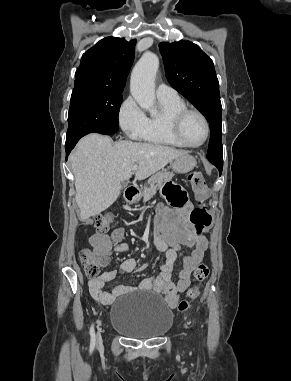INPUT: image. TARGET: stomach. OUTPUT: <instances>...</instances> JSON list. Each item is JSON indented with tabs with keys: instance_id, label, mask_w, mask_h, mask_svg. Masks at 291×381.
Listing matches in <instances>:
<instances>
[{
	"instance_id": "0dacf381",
	"label": "stomach",
	"mask_w": 291,
	"mask_h": 381,
	"mask_svg": "<svg viewBox=\"0 0 291 381\" xmlns=\"http://www.w3.org/2000/svg\"><path fill=\"white\" fill-rule=\"evenodd\" d=\"M196 165V159L187 154L181 155L174 159L171 163L172 169L176 173L185 174L191 171Z\"/></svg>"
}]
</instances>
